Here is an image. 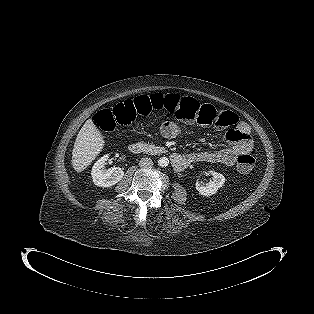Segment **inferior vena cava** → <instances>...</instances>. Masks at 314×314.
Masks as SVG:
<instances>
[{
	"instance_id": "inferior-vena-cava-1",
	"label": "inferior vena cava",
	"mask_w": 314,
	"mask_h": 314,
	"mask_svg": "<svg viewBox=\"0 0 314 314\" xmlns=\"http://www.w3.org/2000/svg\"><path fill=\"white\" fill-rule=\"evenodd\" d=\"M139 166L144 169L151 168L153 166V161L148 157L141 158Z\"/></svg>"
}]
</instances>
